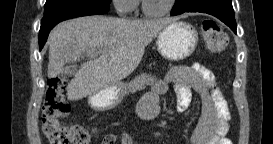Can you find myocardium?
<instances>
[{
  "instance_id": "myocardium-1",
  "label": "myocardium",
  "mask_w": 273,
  "mask_h": 144,
  "mask_svg": "<svg viewBox=\"0 0 273 144\" xmlns=\"http://www.w3.org/2000/svg\"><path fill=\"white\" fill-rule=\"evenodd\" d=\"M176 1L177 0H170L167 3V5L165 7H163L162 9L152 10L147 6L145 0H142V11L145 14L150 15V16H161V15H164V14H167V13L171 12L172 9L174 8L175 4H176Z\"/></svg>"
}]
</instances>
